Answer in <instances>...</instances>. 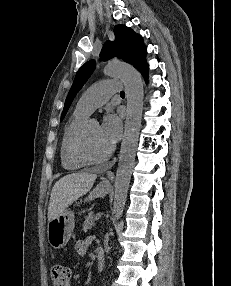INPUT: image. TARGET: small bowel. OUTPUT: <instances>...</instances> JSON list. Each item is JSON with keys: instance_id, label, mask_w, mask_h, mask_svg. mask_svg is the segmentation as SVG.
<instances>
[{"instance_id": "1", "label": "small bowel", "mask_w": 231, "mask_h": 286, "mask_svg": "<svg viewBox=\"0 0 231 286\" xmlns=\"http://www.w3.org/2000/svg\"><path fill=\"white\" fill-rule=\"evenodd\" d=\"M90 241L89 240H79L74 245V251L77 255H84L87 252L89 247Z\"/></svg>"}]
</instances>
